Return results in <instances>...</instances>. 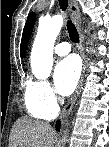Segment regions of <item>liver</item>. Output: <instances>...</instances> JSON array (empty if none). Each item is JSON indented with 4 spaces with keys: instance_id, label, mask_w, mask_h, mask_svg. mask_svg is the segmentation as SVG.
I'll list each match as a JSON object with an SVG mask.
<instances>
[{
    "instance_id": "6515ba94",
    "label": "liver",
    "mask_w": 109,
    "mask_h": 147,
    "mask_svg": "<svg viewBox=\"0 0 109 147\" xmlns=\"http://www.w3.org/2000/svg\"><path fill=\"white\" fill-rule=\"evenodd\" d=\"M55 133L50 124L27 117L14 123L9 147H53Z\"/></svg>"
}]
</instances>
